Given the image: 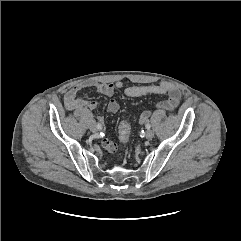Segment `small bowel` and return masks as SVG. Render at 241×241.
Masks as SVG:
<instances>
[{
  "label": "small bowel",
  "mask_w": 241,
  "mask_h": 241,
  "mask_svg": "<svg viewBox=\"0 0 241 241\" xmlns=\"http://www.w3.org/2000/svg\"><path fill=\"white\" fill-rule=\"evenodd\" d=\"M89 88H95L98 93L107 97H112L116 90H121L126 96L129 97H140L148 94L167 95L168 98L159 102L158 107L168 111L174 110L178 106L181 99L179 89L168 82L144 86H126L122 81H116L114 83L82 82L72 86L66 92L64 96V104L67 110L74 111L84 107L95 109L98 105L96 101L86 100L79 96ZM119 108L120 105L117 100L111 98L107 104V111L114 114L119 110ZM149 116L150 113L148 111L143 112L139 118V122H146ZM102 146L109 153H113L116 150V144L107 138L102 139Z\"/></svg>",
  "instance_id": "small-bowel-1"
}]
</instances>
